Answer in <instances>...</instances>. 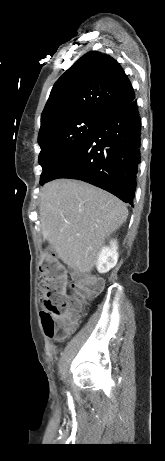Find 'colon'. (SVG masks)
Returning <instances> with one entry per match:
<instances>
[{
    "instance_id": "5ec220e1",
    "label": "colon",
    "mask_w": 165,
    "mask_h": 461,
    "mask_svg": "<svg viewBox=\"0 0 165 461\" xmlns=\"http://www.w3.org/2000/svg\"><path fill=\"white\" fill-rule=\"evenodd\" d=\"M39 270L43 282L40 317L45 334L51 339H63L74 330L82 302L100 290V283L88 279L71 284L66 268L52 254L42 257ZM70 287H76V296L70 297L67 294Z\"/></svg>"
}]
</instances>
